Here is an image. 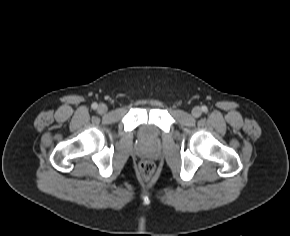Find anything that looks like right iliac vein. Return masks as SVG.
<instances>
[{"label": "right iliac vein", "mask_w": 290, "mask_h": 236, "mask_svg": "<svg viewBox=\"0 0 290 236\" xmlns=\"http://www.w3.org/2000/svg\"><path fill=\"white\" fill-rule=\"evenodd\" d=\"M108 110L107 106L105 104H100L97 108V111L100 113V114H104L106 113Z\"/></svg>", "instance_id": "1"}]
</instances>
